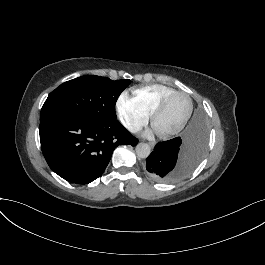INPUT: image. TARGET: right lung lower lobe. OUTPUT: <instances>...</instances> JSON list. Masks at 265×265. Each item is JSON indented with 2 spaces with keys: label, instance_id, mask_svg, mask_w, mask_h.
Masks as SVG:
<instances>
[{
  "label": "right lung lower lobe",
  "instance_id": "obj_1",
  "mask_svg": "<svg viewBox=\"0 0 265 265\" xmlns=\"http://www.w3.org/2000/svg\"><path fill=\"white\" fill-rule=\"evenodd\" d=\"M40 142L50 168L63 179L87 184L106 169L114 149L138 140L119 121L63 114L40 122Z\"/></svg>",
  "mask_w": 265,
  "mask_h": 265
}]
</instances>
